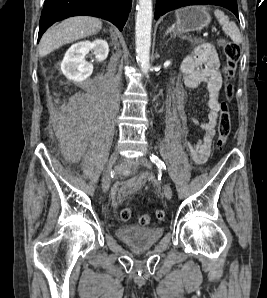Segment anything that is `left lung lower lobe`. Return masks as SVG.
<instances>
[{
    "instance_id": "1",
    "label": "left lung lower lobe",
    "mask_w": 267,
    "mask_h": 298,
    "mask_svg": "<svg viewBox=\"0 0 267 298\" xmlns=\"http://www.w3.org/2000/svg\"><path fill=\"white\" fill-rule=\"evenodd\" d=\"M196 4H211L225 7L232 11L237 18L238 9L236 0H157L155 8V19H158L161 15L168 11Z\"/></svg>"
}]
</instances>
